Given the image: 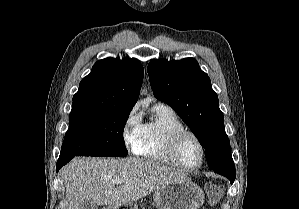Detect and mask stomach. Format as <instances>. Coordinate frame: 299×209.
Masks as SVG:
<instances>
[{
  "label": "stomach",
  "mask_w": 299,
  "mask_h": 209,
  "mask_svg": "<svg viewBox=\"0 0 299 209\" xmlns=\"http://www.w3.org/2000/svg\"><path fill=\"white\" fill-rule=\"evenodd\" d=\"M158 209H199L205 201L203 190L190 178H181L154 191ZM123 209H138L136 203L123 205ZM108 209H119L109 206ZM145 209V208H142Z\"/></svg>",
  "instance_id": "stomach-1"
}]
</instances>
